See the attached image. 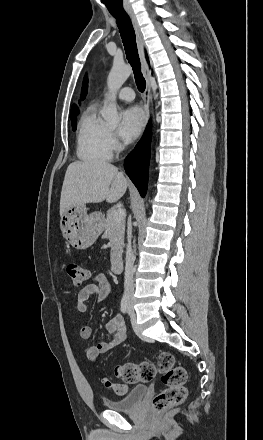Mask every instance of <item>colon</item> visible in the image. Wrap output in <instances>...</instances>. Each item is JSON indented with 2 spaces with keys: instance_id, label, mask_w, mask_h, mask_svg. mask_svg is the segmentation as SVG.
<instances>
[{
  "instance_id": "colon-1",
  "label": "colon",
  "mask_w": 263,
  "mask_h": 440,
  "mask_svg": "<svg viewBox=\"0 0 263 440\" xmlns=\"http://www.w3.org/2000/svg\"><path fill=\"white\" fill-rule=\"evenodd\" d=\"M66 272L74 286L82 285L89 277V270L82 264L70 263L66 266ZM161 374V381L164 389L152 400L151 407L154 412H162L168 408L180 405L187 396L186 370L177 365L174 356L169 352H161L157 358V364L150 361L139 363H124L115 367L114 374L125 383L135 384L139 382H150L156 374ZM106 388L112 389L117 394H124L126 386L113 382L110 379L102 380Z\"/></svg>"
}]
</instances>
